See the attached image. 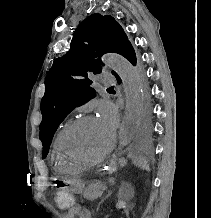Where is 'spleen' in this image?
<instances>
[{
	"mask_svg": "<svg viewBox=\"0 0 211 218\" xmlns=\"http://www.w3.org/2000/svg\"><path fill=\"white\" fill-rule=\"evenodd\" d=\"M130 158H132V162L135 166H137V168H141V170H147V172H149V164L143 156H132V154H130Z\"/></svg>",
	"mask_w": 211,
	"mask_h": 218,
	"instance_id": "spleen-1",
	"label": "spleen"
}]
</instances>
